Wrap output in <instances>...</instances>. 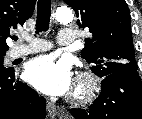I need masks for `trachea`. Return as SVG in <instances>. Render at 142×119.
Segmentation results:
<instances>
[{"label":"trachea","instance_id":"1","mask_svg":"<svg viewBox=\"0 0 142 119\" xmlns=\"http://www.w3.org/2000/svg\"><path fill=\"white\" fill-rule=\"evenodd\" d=\"M51 15V1L38 0L37 19H36V33L47 31L49 29ZM17 36L13 40H17Z\"/></svg>","mask_w":142,"mask_h":119}]
</instances>
